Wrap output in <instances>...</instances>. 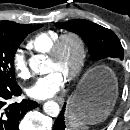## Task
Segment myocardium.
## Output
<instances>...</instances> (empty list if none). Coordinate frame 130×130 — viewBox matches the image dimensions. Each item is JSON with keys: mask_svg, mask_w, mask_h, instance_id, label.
I'll return each mask as SVG.
<instances>
[{"mask_svg": "<svg viewBox=\"0 0 130 130\" xmlns=\"http://www.w3.org/2000/svg\"><path fill=\"white\" fill-rule=\"evenodd\" d=\"M72 39L76 42L78 46V59L77 62L74 66V68L67 74L66 79L67 80H73L76 77L79 76L81 71L83 70V67L86 62V57H87V46L84 38L77 32L74 31H68L65 32L55 40L53 45L51 46L48 55L51 59H58L63 47V44L65 41Z\"/></svg>", "mask_w": 130, "mask_h": 130, "instance_id": "f54148a6", "label": "myocardium"}]
</instances>
